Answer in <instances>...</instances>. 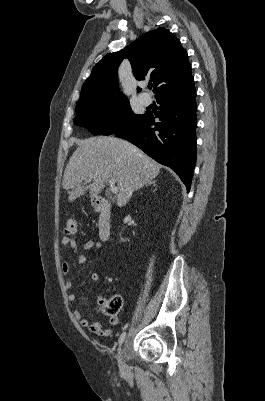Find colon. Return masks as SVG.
Returning <instances> with one entry per match:
<instances>
[{
	"label": "colon",
	"instance_id": "1",
	"mask_svg": "<svg viewBox=\"0 0 265 401\" xmlns=\"http://www.w3.org/2000/svg\"><path fill=\"white\" fill-rule=\"evenodd\" d=\"M78 227L77 220L74 218H70L67 220L66 225H65V232L68 235H73L76 233ZM100 306L102 311L109 316H114L116 315L122 306V299L118 295H114L110 298L107 299H102L100 301Z\"/></svg>",
	"mask_w": 265,
	"mask_h": 401
}]
</instances>
